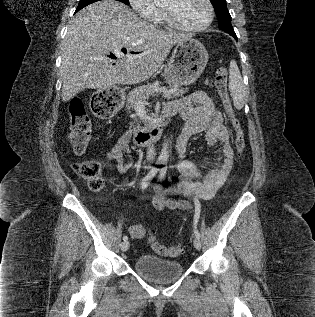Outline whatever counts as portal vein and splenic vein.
<instances>
[{"mask_svg":"<svg viewBox=\"0 0 315 317\" xmlns=\"http://www.w3.org/2000/svg\"><path fill=\"white\" fill-rule=\"evenodd\" d=\"M155 91H162V92H166V89H155Z\"/></svg>","mask_w":315,"mask_h":317,"instance_id":"1","label":"portal vein and splenic vein"}]
</instances>
